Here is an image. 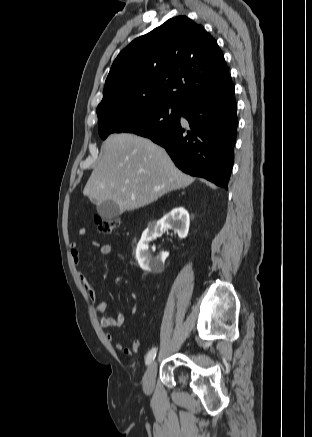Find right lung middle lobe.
Here are the masks:
<instances>
[{"label":"right lung middle lobe","mask_w":312,"mask_h":437,"mask_svg":"<svg viewBox=\"0 0 312 437\" xmlns=\"http://www.w3.org/2000/svg\"><path fill=\"white\" fill-rule=\"evenodd\" d=\"M180 110L179 106L162 102L126 105L98 119L99 135L105 139L111 133L129 132L145 137L160 133L179 121Z\"/></svg>","instance_id":"right-lung-middle-lobe-1"}]
</instances>
